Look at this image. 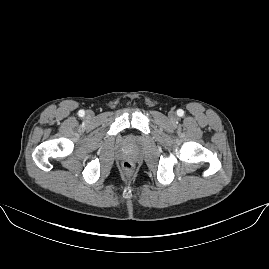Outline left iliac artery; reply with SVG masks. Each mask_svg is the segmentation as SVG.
<instances>
[{
	"label": "left iliac artery",
	"mask_w": 269,
	"mask_h": 269,
	"mask_svg": "<svg viewBox=\"0 0 269 269\" xmlns=\"http://www.w3.org/2000/svg\"><path fill=\"white\" fill-rule=\"evenodd\" d=\"M177 115L178 116H183L184 115V111L182 109L177 110Z\"/></svg>",
	"instance_id": "44dca946"
}]
</instances>
